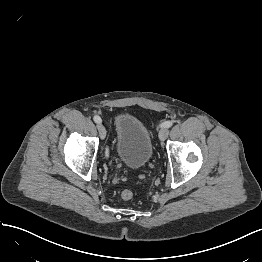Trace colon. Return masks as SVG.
<instances>
[{
	"label": "colon",
	"instance_id": "colon-1",
	"mask_svg": "<svg viewBox=\"0 0 262 262\" xmlns=\"http://www.w3.org/2000/svg\"><path fill=\"white\" fill-rule=\"evenodd\" d=\"M120 198L124 201H129L133 198V193H132V191L127 190V189L122 190L120 192Z\"/></svg>",
	"mask_w": 262,
	"mask_h": 262
}]
</instances>
